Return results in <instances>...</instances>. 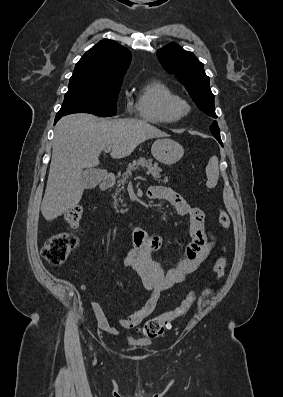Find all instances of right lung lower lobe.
<instances>
[{
  "label": "right lung lower lobe",
  "instance_id": "obj_1",
  "mask_svg": "<svg viewBox=\"0 0 283 397\" xmlns=\"http://www.w3.org/2000/svg\"><path fill=\"white\" fill-rule=\"evenodd\" d=\"M62 116H56V118H55V123L61 118ZM54 123V124H55Z\"/></svg>",
  "mask_w": 283,
  "mask_h": 397
}]
</instances>
